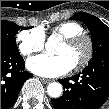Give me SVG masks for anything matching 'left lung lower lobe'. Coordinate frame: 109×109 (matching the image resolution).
Masks as SVG:
<instances>
[{
	"label": "left lung lower lobe",
	"mask_w": 109,
	"mask_h": 109,
	"mask_svg": "<svg viewBox=\"0 0 109 109\" xmlns=\"http://www.w3.org/2000/svg\"><path fill=\"white\" fill-rule=\"evenodd\" d=\"M59 82L65 90L60 98L52 99L55 109H99L109 97V54L91 59L82 72ZM75 87L81 96L71 103L66 93Z\"/></svg>",
	"instance_id": "0a47b994"
}]
</instances>
